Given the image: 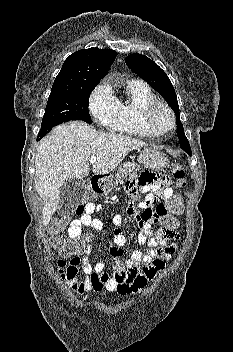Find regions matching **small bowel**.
<instances>
[{"label": "small bowel", "instance_id": "obj_1", "mask_svg": "<svg viewBox=\"0 0 233 352\" xmlns=\"http://www.w3.org/2000/svg\"><path fill=\"white\" fill-rule=\"evenodd\" d=\"M128 189L132 201L128 204L126 212L139 227L138 242L146 244L149 249L146 253L135 250L130 260L126 264H122L119 261L123 254L121 247L127 243V238L120 227H117L113 232L114 244L110 248L113 266L111 273L108 274L105 272L103 263L99 262L94 266L90 264L88 256L92 252V247L87 245L82 251V260L79 257H74L65 266V281L71 290L78 295L92 291L90 281L92 273L106 276L104 288L108 291H117L122 295L133 293L160 273L164 268V261L171 258L176 252V241L179 239V234L176 231L158 228L153 235V229L161 220L160 213L153 210V204L160 200H167L173 195L168 179L163 175L146 170L140 174L137 183H131ZM138 191L146 193L145 200L140 204L141 214H138L134 208ZM100 211H102L101 205L88 202L81 217L73 219L69 223L68 236L73 240L78 239L82 234L83 226L91 227L96 231L101 230L103 223L93 217L95 212ZM121 222V216L116 214L113 217V223L119 226ZM168 241H172V243L167 244ZM60 262L61 260L58 261V264Z\"/></svg>", "mask_w": 233, "mask_h": 352}]
</instances>
